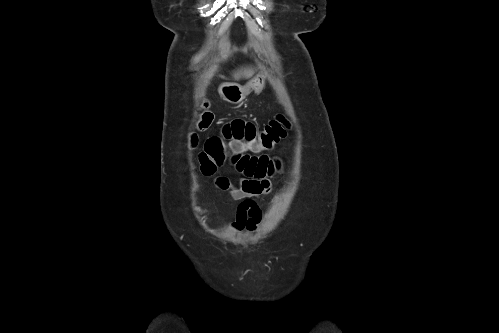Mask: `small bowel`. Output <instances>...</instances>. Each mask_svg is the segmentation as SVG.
Wrapping results in <instances>:
<instances>
[{"mask_svg": "<svg viewBox=\"0 0 499 333\" xmlns=\"http://www.w3.org/2000/svg\"><path fill=\"white\" fill-rule=\"evenodd\" d=\"M259 136L258 129L251 123L236 119L228 123L221 132L227 141L239 140L247 145L255 142ZM235 167L244 175L239 185H232L227 178L220 177L218 186L230 190L233 199L241 201L237 208L236 219L231 228L236 231H253L261 221V212L254 199L266 195L271 190L267 179L275 168V160L264 153L250 155L230 151Z\"/></svg>", "mask_w": 499, "mask_h": 333, "instance_id": "c3829d8e", "label": "small bowel"}]
</instances>
